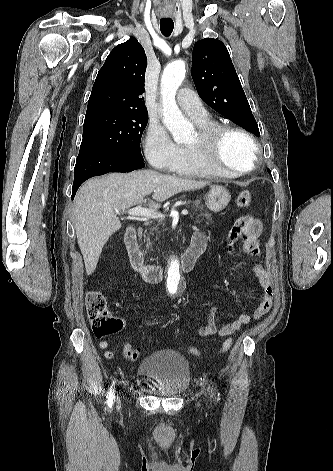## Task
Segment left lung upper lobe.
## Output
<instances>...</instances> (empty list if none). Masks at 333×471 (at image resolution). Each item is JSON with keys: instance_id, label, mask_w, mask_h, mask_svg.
<instances>
[{"instance_id": "1", "label": "left lung upper lobe", "mask_w": 333, "mask_h": 471, "mask_svg": "<svg viewBox=\"0 0 333 471\" xmlns=\"http://www.w3.org/2000/svg\"><path fill=\"white\" fill-rule=\"evenodd\" d=\"M192 77L197 92L205 103L239 126L260 136L229 52L220 40L205 38L195 43ZM268 172L271 173L269 169Z\"/></svg>"}]
</instances>
